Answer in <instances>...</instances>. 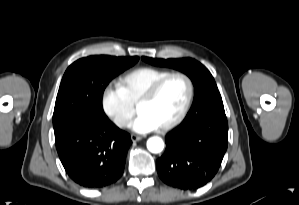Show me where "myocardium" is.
<instances>
[{"instance_id": "f54148a6", "label": "myocardium", "mask_w": 299, "mask_h": 205, "mask_svg": "<svg viewBox=\"0 0 299 205\" xmlns=\"http://www.w3.org/2000/svg\"><path fill=\"white\" fill-rule=\"evenodd\" d=\"M174 77H179L181 79H183L186 84H187V88H188V93H187V97L185 100V103L181 109V111L179 112V114L173 118L171 121L167 122L166 124L158 127V129L160 131H167L170 130L174 127H176L177 125H179L187 116L193 99H194V94H195V87H194V83L192 81V79L185 73L183 72H170L166 75H164L163 77L159 78L158 80H156L143 94L142 96L139 98L137 104H136V108L139 111V108L144 105L149 103L151 100H153V98L157 95V93L159 92V90L162 88V86L171 78Z\"/></svg>"}]
</instances>
